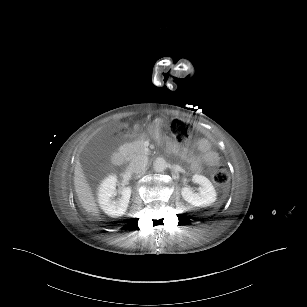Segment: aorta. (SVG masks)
I'll list each match as a JSON object with an SVG mask.
<instances>
[{
    "label": "aorta",
    "instance_id": "1",
    "mask_svg": "<svg viewBox=\"0 0 307 307\" xmlns=\"http://www.w3.org/2000/svg\"><path fill=\"white\" fill-rule=\"evenodd\" d=\"M167 167V162L163 158H157L153 162V170L157 173L163 172Z\"/></svg>",
    "mask_w": 307,
    "mask_h": 307
}]
</instances>
